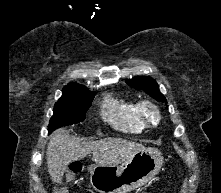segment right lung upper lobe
I'll return each mask as SVG.
<instances>
[{
  "label": "right lung upper lobe",
  "instance_id": "1",
  "mask_svg": "<svg viewBox=\"0 0 221 193\" xmlns=\"http://www.w3.org/2000/svg\"><path fill=\"white\" fill-rule=\"evenodd\" d=\"M73 88H84L82 85L76 83H69L64 89H73Z\"/></svg>",
  "mask_w": 221,
  "mask_h": 193
}]
</instances>
